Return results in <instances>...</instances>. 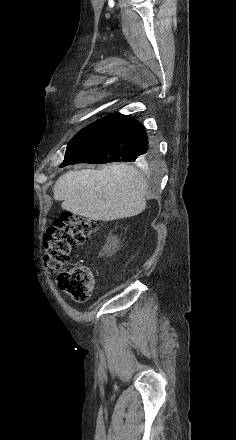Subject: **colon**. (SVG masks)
Returning a JSON list of instances; mask_svg holds the SVG:
<instances>
[{
	"mask_svg": "<svg viewBox=\"0 0 236 440\" xmlns=\"http://www.w3.org/2000/svg\"><path fill=\"white\" fill-rule=\"evenodd\" d=\"M97 228L96 221L65 212L54 221L46 235L45 266L49 273H57L60 290L79 303L88 301L91 296L93 273L82 264L62 268L69 263L72 251L87 242Z\"/></svg>",
	"mask_w": 236,
	"mask_h": 440,
	"instance_id": "5ec220e1",
	"label": "colon"
}]
</instances>
